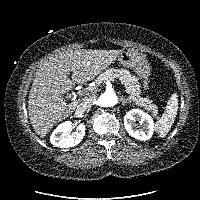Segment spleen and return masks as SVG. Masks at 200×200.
Wrapping results in <instances>:
<instances>
[{
	"label": "spleen",
	"instance_id": "3e777b00",
	"mask_svg": "<svg viewBox=\"0 0 200 200\" xmlns=\"http://www.w3.org/2000/svg\"><path fill=\"white\" fill-rule=\"evenodd\" d=\"M177 97L176 93L172 94L168 100L165 112L155 124V130L160 137H165L174 123L178 110Z\"/></svg>",
	"mask_w": 200,
	"mask_h": 200
}]
</instances>
